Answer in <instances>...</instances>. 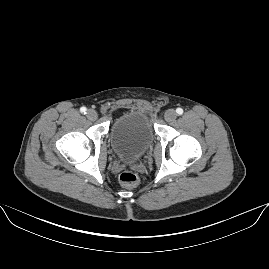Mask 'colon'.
<instances>
[{"mask_svg":"<svg viewBox=\"0 0 269 269\" xmlns=\"http://www.w3.org/2000/svg\"><path fill=\"white\" fill-rule=\"evenodd\" d=\"M119 181L123 186L133 189L138 188L141 184L137 174L130 170L122 171L119 175Z\"/></svg>","mask_w":269,"mask_h":269,"instance_id":"5ec220e1","label":"colon"}]
</instances>
